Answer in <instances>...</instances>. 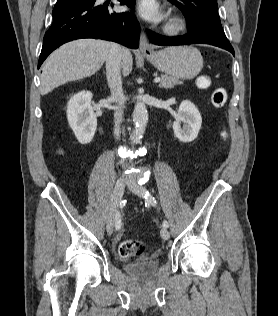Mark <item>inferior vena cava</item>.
<instances>
[{
    "instance_id": "obj_1",
    "label": "inferior vena cava",
    "mask_w": 278,
    "mask_h": 316,
    "mask_svg": "<svg viewBox=\"0 0 278 316\" xmlns=\"http://www.w3.org/2000/svg\"><path fill=\"white\" fill-rule=\"evenodd\" d=\"M124 48L113 44L110 54L106 59V72L108 86L111 91V99L119 105L124 103V95L121 80V62ZM123 110L119 109L114 113L115 128L114 134L118 138L120 134V123L122 122Z\"/></svg>"
}]
</instances>
